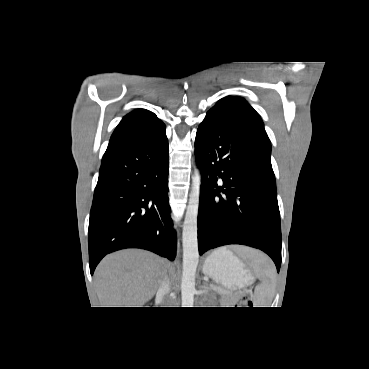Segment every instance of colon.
I'll list each match as a JSON object with an SVG mask.
<instances>
[{"instance_id": "obj_1", "label": "colon", "mask_w": 369, "mask_h": 369, "mask_svg": "<svg viewBox=\"0 0 369 369\" xmlns=\"http://www.w3.org/2000/svg\"><path fill=\"white\" fill-rule=\"evenodd\" d=\"M248 301H249L248 298L243 299V302H248Z\"/></svg>"}]
</instances>
